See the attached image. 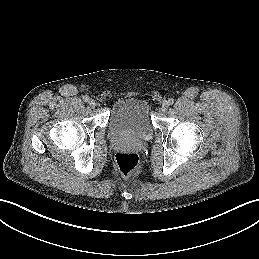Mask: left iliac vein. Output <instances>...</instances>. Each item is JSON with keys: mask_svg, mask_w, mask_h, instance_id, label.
<instances>
[{"mask_svg": "<svg viewBox=\"0 0 259 259\" xmlns=\"http://www.w3.org/2000/svg\"><path fill=\"white\" fill-rule=\"evenodd\" d=\"M168 108H169V103H168V102H164V103L162 104V106H161V111H162L163 113H165V112H167Z\"/></svg>", "mask_w": 259, "mask_h": 259, "instance_id": "1", "label": "left iliac vein"}]
</instances>
